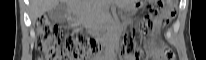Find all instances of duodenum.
Instances as JSON below:
<instances>
[{"mask_svg": "<svg viewBox=\"0 0 206 60\" xmlns=\"http://www.w3.org/2000/svg\"><path fill=\"white\" fill-rule=\"evenodd\" d=\"M70 13H71V18L72 20H74L73 18V7H70ZM73 27L74 28H77L78 27V24L77 23H74L73 24ZM96 31H97V34H98V37L100 40L103 39V37H106V34H118V30L117 29H105V27L103 25H99L96 27Z\"/></svg>", "mask_w": 206, "mask_h": 60, "instance_id": "duodenum-1", "label": "duodenum"}]
</instances>
